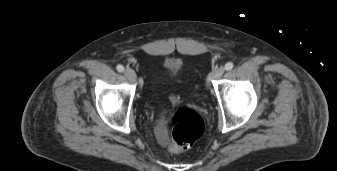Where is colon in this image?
Listing matches in <instances>:
<instances>
[{"label": "colon", "instance_id": "1", "mask_svg": "<svg viewBox=\"0 0 337 171\" xmlns=\"http://www.w3.org/2000/svg\"><path fill=\"white\" fill-rule=\"evenodd\" d=\"M173 150L188 149L199 139L205 130L202 117L187 108L178 109L170 118Z\"/></svg>", "mask_w": 337, "mask_h": 171}]
</instances>
